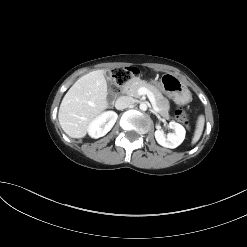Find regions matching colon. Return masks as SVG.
<instances>
[{"label": "colon", "mask_w": 247, "mask_h": 247, "mask_svg": "<svg viewBox=\"0 0 247 247\" xmlns=\"http://www.w3.org/2000/svg\"><path fill=\"white\" fill-rule=\"evenodd\" d=\"M139 73L137 68L125 67L116 68L112 73V84L110 86V94L115 96L119 92V87L128 82L132 77ZM177 117L183 121H186V114L183 110L177 111Z\"/></svg>", "instance_id": "obj_1"}]
</instances>
